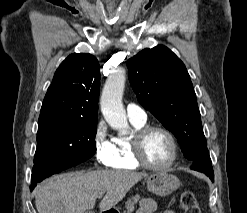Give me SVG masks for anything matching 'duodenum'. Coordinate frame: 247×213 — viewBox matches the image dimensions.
<instances>
[{"mask_svg":"<svg viewBox=\"0 0 247 213\" xmlns=\"http://www.w3.org/2000/svg\"><path fill=\"white\" fill-rule=\"evenodd\" d=\"M101 213H112V212H110V211H103V212H101Z\"/></svg>","mask_w":247,"mask_h":213,"instance_id":"410a0bca","label":"duodenum"}]
</instances>
